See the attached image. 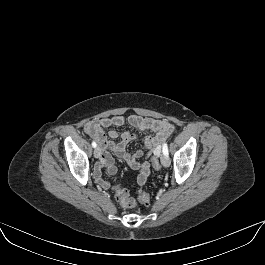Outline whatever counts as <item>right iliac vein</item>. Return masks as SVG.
<instances>
[{
	"instance_id": "63e3f726",
	"label": "right iliac vein",
	"mask_w": 265,
	"mask_h": 265,
	"mask_svg": "<svg viewBox=\"0 0 265 265\" xmlns=\"http://www.w3.org/2000/svg\"><path fill=\"white\" fill-rule=\"evenodd\" d=\"M100 155H101V149H100L99 147H96V148L94 149V157H95V158H99Z\"/></svg>"
}]
</instances>
